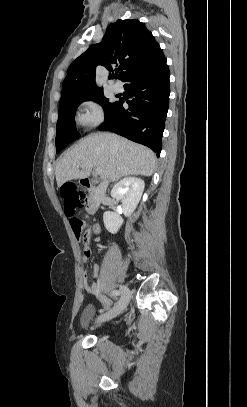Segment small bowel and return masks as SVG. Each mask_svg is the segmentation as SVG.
I'll return each instance as SVG.
<instances>
[{
  "label": "small bowel",
  "instance_id": "c3829d8e",
  "mask_svg": "<svg viewBox=\"0 0 247 407\" xmlns=\"http://www.w3.org/2000/svg\"><path fill=\"white\" fill-rule=\"evenodd\" d=\"M89 257H90V250L87 248L83 249L82 254H81V260H82V263L84 264L83 287L88 293L95 294L98 292V285H97V283H93V284L88 283V277H87V271H86V263L88 262ZM99 271H100V266L95 264L93 267V277L94 278H97ZM110 304H111V302L109 299H103V305L105 307L110 306Z\"/></svg>",
  "mask_w": 247,
  "mask_h": 407
}]
</instances>
